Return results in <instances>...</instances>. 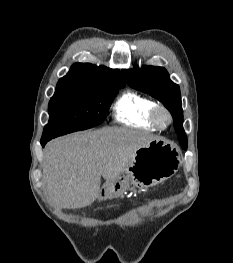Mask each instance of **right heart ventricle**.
<instances>
[{
    "instance_id": "1",
    "label": "right heart ventricle",
    "mask_w": 233,
    "mask_h": 263,
    "mask_svg": "<svg viewBox=\"0 0 233 263\" xmlns=\"http://www.w3.org/2000/svg\"><path fill=\"white\" fill-rule=\"evenodd\" d=\"M156 103L149 97L135 92L125 91L114 103L113 116L116 122L134 128L157 131L150 115Z\"/></svg>"
}]
</instances>
